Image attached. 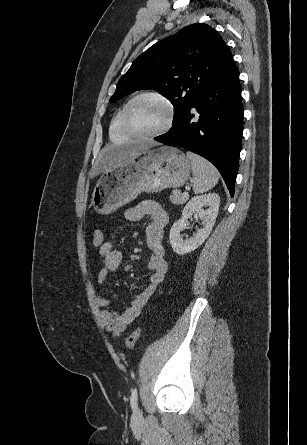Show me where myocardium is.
<instances>
[{
	"label": "myocardium",
	"instance_id": "obj_1",
	"mask_svg": "<svg viewBox=\"0 0 307 445\" xmlns=\"http://www.w3.org/2000/svg\"><path fill=\"white\" fill-rule=\"evenodd\" d=\"M145 99H155L161 102L167 110V119L164 125L156 131L153 132H140L138 131L132 123V110L136 103ZM176 118V110L173 103L163 94L157 92H144L133 98L125 111V126L126 130L130 136L136 139H158L159 137L166 134L174 124Z\"/></svg>",
	"mask_w": 307,
	"mask_h": 445
}]
</instances>
